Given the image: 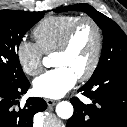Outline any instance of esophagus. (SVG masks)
<instances>
[{
	"instance_id": "1",
	"label": "esophagus",
	"mask_w": 127,
	"mask_h": 127,
	"mask_svg": "<svg viewBox=\"0 0 127 127\" xmlns=\"http://www.w3.org/2000/svg\"><path fill=\"white\" fill-rule=\"evenodd\" d=\"M46 103H47L48 106H54L57 103V101L51 100V99H47Z\"/></svg>"
}]
</instances>
